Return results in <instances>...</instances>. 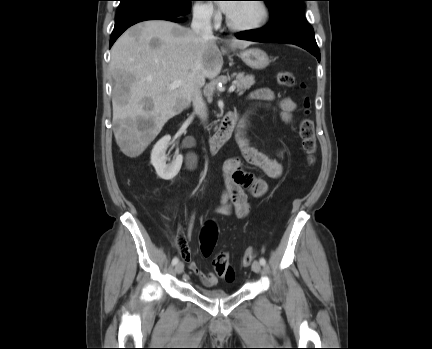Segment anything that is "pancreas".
<instances>
[{
	"mask_svg": "<svg viewBox=\"0 0 432 349\" xmlns=\"http://www.w3.org/2000/svg\"><path fill=\"white\" fill-rule=\"evenodd\" d=\"M232 76L235 77L234 85L236 87L237 93L239 94H242L245 90L249 89L255 83L253 75L234 73Z\"/></svg>",
	"mask_w": 432,
	"mask_h": 349,
	"instance_id": "pancreas-1",
	"label": "pancreas"
}]
</instances>
